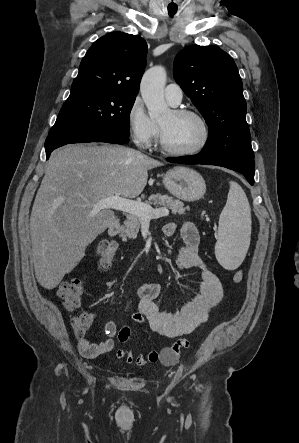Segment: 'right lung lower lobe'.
Instances as JSON below:
<instances>
[{
    "instance_id": "1",
    "label": "right lung lower lobe",
    "mask_w": 299,
    "mask_h": 443,
    "mask_svg": "<svg viewBox=\"0 0 299 443\" xmlns=\"http://www.w3.org/2000/svg\"><path fill=\"white\" fill-rule=\"evenodd\" d=\"M85 142H106L113 144H126L129 142V136L112 130H99L91 132H82L72 136H48L45 142L46 158L50 153L63 145Z\"/></svg>"
}]
</instances>
